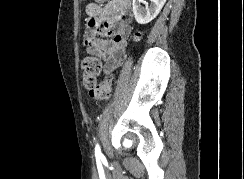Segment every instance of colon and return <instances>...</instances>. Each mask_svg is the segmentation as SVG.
I'll return each mask as SVG.
<instances>
[{
	"label": "colon",
	"instance_id": "1",
	"mask_svg": "<svg viewBox=\"0 0 244 179\" xmlns=\"http://www.w3.org/2000/svg\"><path fill=\"white\" fill-rule=\"evenodd\" d=\"M105 3L106 0H98ZM83 84L89 90L90 98L95 102H105L110 99L111 91L115 82L113 75L98 83L101 70V60L97 56H91L82 60Z\"/></svg>",
	"mask_w": 244,
	"mask_h": 179
}]
</instances>
